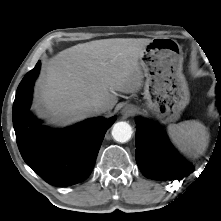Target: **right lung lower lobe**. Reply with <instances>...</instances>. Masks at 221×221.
Segmentation results:
<instances>
[{
	"mask_svg": "<svg viewBox=\"0 0 221 221\" xmlns=\"http://www.w3.org/2000/svg\"><path fill=\"white\" fill-rule=\"evenodd\" d=\"M41 63L18 86L13 104V126L22 158L43 180L54 186H70L92 172L107 129L116 120L95 118L73 127H45L29 111L32 88Z\"/></svg>",
	"mask_w": 221,
	"mask_h": 221,
	"instance_id": "obj_1",
	"label": "right lung lower lobe"
}]
</instances>
